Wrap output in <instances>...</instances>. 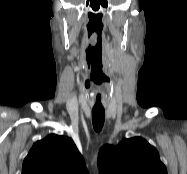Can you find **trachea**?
<instances>
[{
  "mask_svg": "<svg viewBox=\"0 0 187 174\" xmlns=\"http://www.w3.org/2000/svg\"><path fill=\"white\" fill-rule=\"evenodd\" d=\"M105 120L104 109H92V122L96 132H100Z\"/></svg>",
  "mask_w": 187,
  "mask_h": 174,
  "instance_id": "trachea-1",
  "label": "trachea"
}]
</instances>
